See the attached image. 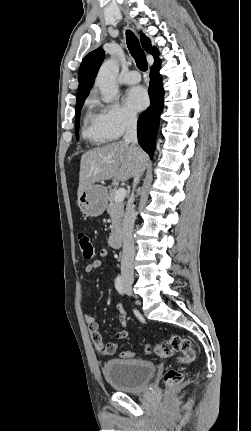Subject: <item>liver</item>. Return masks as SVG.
<instances>
[{
	"instance_id": "6515ba94",
	"label": "liver",
	"mask_w": 251,
	"mask_h": 431,
	"mask_svg": "<svg viewBox=\"0 0 251 431\" xmlns=\"http://www.w3.org/2000/svg\"><path fill=\"white\" fill-rule=\"evenodd\" d=\"M146 154L138 147L117 141L92 149L81 157L78 197L96 182L126 181L144 168Z\"/></svg>"
}]
</instances>
